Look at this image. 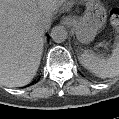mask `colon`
Instances as JSON below:
<instances>
[{"mask_svg":"<svg viewBox=\"0 0 119 119\" xmlns=\"http://www.w3.org/2000/svg\"><path fill=\"white\" fill-rule=\"evenodd\" d=\"M110 21H111V24L115 27L119 25V8L118 7H114L110 11Z\"/></svg>","mask_w":119,"mask_h":119,"instance_id":"1","label":"colon"}]
</instances>
